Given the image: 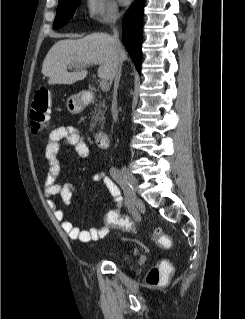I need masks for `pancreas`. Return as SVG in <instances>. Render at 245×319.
I'll use <instances>...</instances> for the list:
<instances>
[{
    "label": "pancreas",
    "instance_id": "obj_1",
    "mask_svg": "<svg viewBox=\"0 0 245 319\" xmlns=\"http://www.w3.org/2000/svg\"><path fill=\"white\" fill-rule=\"evenodd\" d=\"M106 111V105L104 101H99L98 104H95L94 110L92 111V122L90 123V130L92 131L96 126L97 122L101 123L104 121Z\"/></svg>",
    "mask_w": 245,
    "mask_h": 319
}]
</instances>
